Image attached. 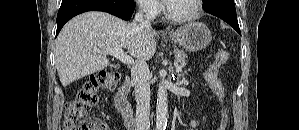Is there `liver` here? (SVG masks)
Segmentation results:
<instances>
[{
  "label": "liver",
  "mask_w": 299,
  "mask_h": 130,
  "mask_svg": "<svg viewBox=\"0 0 299 130\" xmlns=\"http://www.w3.org/2000/svg\"><path fill=\"white\" fill-rule=\"evenodd\" d=\"M158 32L111 14L90 11L71 19L55 42L56 68L63 87L110 65L97 50L124 48L138 60H150Z\"/></svg>",
  "instance_id": "liver-1"
}]
</instances>
